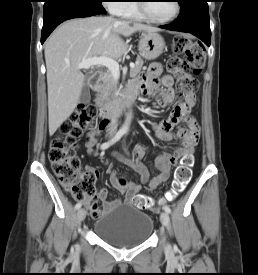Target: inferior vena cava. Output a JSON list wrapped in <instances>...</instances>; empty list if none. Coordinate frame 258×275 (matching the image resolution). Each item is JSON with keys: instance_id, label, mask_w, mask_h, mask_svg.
Listing matches in <instances>:
<instances>
[{"instance_id": "602c4592", "label": "inferior vena cava", "mask_w": 258, "mask_h": 275, "mask_svg": "<svg viewBox=\"0 0 258 275\" xmlns=\"http://www.w3.org/2000/svg\"><path fill=\"white\" fill-rule=\"evenodd\" d=\"M117 114H115L114 116H112L111 118V128H110V131L111 133H113L116 129V124H117Z\"/></svg>"}]
</instances>
